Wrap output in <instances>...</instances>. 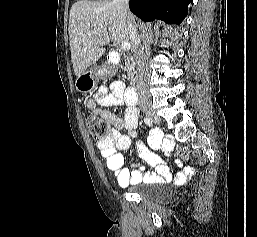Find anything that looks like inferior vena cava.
Returning <instances> with one entry per match:
<instances>
[{"label":"inferior vena cava","instance_id":"602c4592","mask_svg":"<svg viewBox=\"0 0 257 237\" xmlns=\"http://www.w3.org/2000/svg\"><path fill=\"white\" fill-rule=\"evenodd\" d=\"M114 5L119 6L126 15L129 14L128 5L129 0H113ZM130 40L132 44V51L136 61V86L139 95V103L145 104L150 102V94L147 87L148 80V66L147 56L138 35L137 28L131 19H127Z\"/></svg>","mask_w":257,"mask_h":237}]
</instances>
